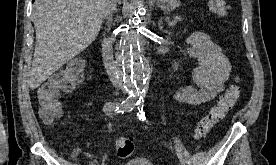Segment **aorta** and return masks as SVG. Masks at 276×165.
<instances>
[{
	"label": "aorta",
	"instance_id": "aorta-1",
	"mask_svg": "<svg viewBox=\"0 0 276 165\" xmlns=\"http://www.w3.org/2000/svg\"><path fill=\"white\" fill-rule=\"evenodd\" d=\"M140 1L139 5H143ZM138 14H134L122 33L117 53V71L129 100H143L149 66L142 55L143 35Z\"/></svg>",
	"mask_w": 276,
	"mask_h": 165
}]
</instances>
